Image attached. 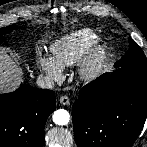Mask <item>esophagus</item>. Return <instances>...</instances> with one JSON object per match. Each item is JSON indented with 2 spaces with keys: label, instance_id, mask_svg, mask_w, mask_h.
<instances>
[{
  "label": "esophagus",
  "instance_id": "esophagus-1",
  "mask_svg": "<svg viewBox=\"0 0 147 147\" xmlns=\"http://www.w3.org/2000/svg\"><path fill=\"white\" fill-rule=\"evenodd\" d=\"M59 101L63 105H69L70 104V99L66 95L61 96Z\"/></svg>",
  "mask_w": 147,
  "mask_h": 147
}]
</instances>
